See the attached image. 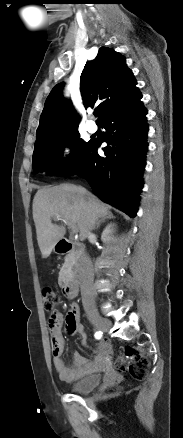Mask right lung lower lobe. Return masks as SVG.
I'll return each instance as SVG.
<instances>
[{
	"instance_id": "98d812e1",
	"label": "right lung lower lobe",
	"mask_w": 183,
	"mask_h": 438,
	"mask_svg": "<svg viewBox=\"0 0 183 438\" xmlns=\"http://www.w3.org/2000/svg\"><path fill=\"white\" fill-rule=\"evenodd\" d=\"M141 98L139 93L100 121L106 130L104 142L108 144L103 148L105 157L97 153L100 143L90 141L78 157L58 174L84 177L102 201L130 217L137 212L148 148L147 110Z\"/></svg>"
}]
</instances>
